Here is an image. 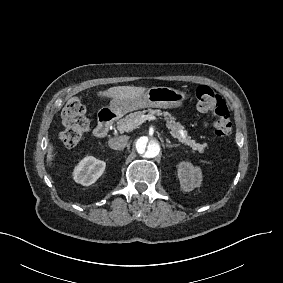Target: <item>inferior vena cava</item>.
Here are the masks:
<instances>
[{
    "instance_id": "1",
    "label": "inferior vena cava",
    "mask_w": 283,
    "mask_h": 283,
    "mask_svg": "<svg viewBox=\"0 0 283 283\" xmlns=\"http://www.w3.org/2000/svg\"><path fill=\"white\" fill-rule=\"evenodd\" d=\"M127 139L123 136L109 139L108 144L114 150H121L126 146Z\"/></svg>"
}]
</instances>
